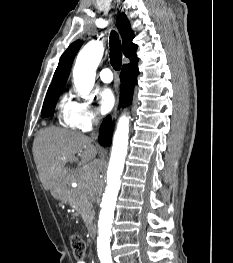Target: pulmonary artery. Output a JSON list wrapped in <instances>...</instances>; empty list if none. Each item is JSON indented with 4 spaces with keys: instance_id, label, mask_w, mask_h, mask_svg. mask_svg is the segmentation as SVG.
<instances>
[{
    "instance_id": "e3ab8cb5",
    "label": "pulmonary artery",
    "mask_w": 233,
    "mask_h": 263,
    "mask_svg": "<svg viewBox=\"0 0 233 263\" xmlns=\"http://www.w3.org/2000/svg\"><path fill=\"white\" fill-rule=\"evenodd\" d=\"M99 76L100 79L105 83H110L113 80V73L109 68L101 69Z\"/></svg>"
}]
</instances>
